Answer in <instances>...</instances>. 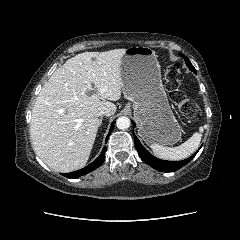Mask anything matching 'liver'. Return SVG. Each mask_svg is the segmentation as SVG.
Listing matches in <instances>:
<instances>
[{
  "label": "liver",
  "mask_w": 240,
  "mask_h": 240,
  "mask_svg": "<svg viewBox=\"0 0 240 240\" xmlns=\"http://www.w3.org/2000/svg\"><path fill=\"white\" fill-rule=\"evenodd\" d=\"M125 52L80 53L41 89L32 109L30 137L34 151L51 169L66 173L86 165L100 124L97 113L116 112L111 101L121 97ZM91 85L96 93H90Z\"/></svg>",
  "instance_id": "liver-1"
}]
</instances>
